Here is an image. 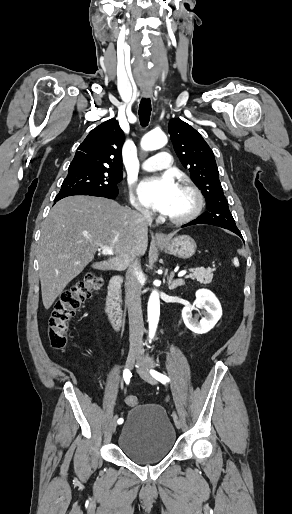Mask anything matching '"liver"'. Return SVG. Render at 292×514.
<instances>
[{"label": "liver", "mask_w": 292, "mask_h": 514, "mask_svg": "<svg viewBox=\"0 0 292 514\" xmlns=\"http://www.w3.org/2000/svg\"><path fill=\"white\" fill-rule=\"evenodd\" d=\"M147 242L139 212L94 196L60 200L41 224L38 264L44 308H51L67 284L92 262L100 246L112 248L116 258L95 262L92 268L121 272L136 256H144Z\"/></svg>", "instance_id": "liver-1"}]
</instances>
